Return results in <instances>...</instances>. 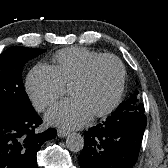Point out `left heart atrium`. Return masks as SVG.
Here are the masks:
<instances>
[{"instance_id": "39dd6f15", "label": "left heart atrium", "mask_w": 168, "mask_h": 168, "mask_svg": "<svg viewBox=\"0 0 168 168\" xmlns=\"http://www.w3.org/2000/svg\"><path fill=\"white\" fill-rule=\"evenodd\" d=\"M92 115V111L82 98L72 96L53 106L46 119L53 125L79 128L87 124Z\"/></svg>"}]
</instances>
